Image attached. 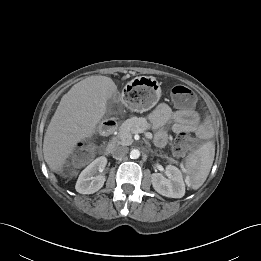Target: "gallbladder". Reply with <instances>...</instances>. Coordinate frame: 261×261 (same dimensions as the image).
<instances>
[{
	"label": "gallbladder",
	"instance_id": "gallbladder-1",
	"mask_svg": "<svg viewBox=\"0 0 261 261\" xmlns=\"http://www.w3.org/2000/svg\"><path fill=\"white\" fill-rule=\"evenodd\" d=\"M119 97H120V95H119L118 93L113 94L112 97L109 98L108 104H109V105H112V104L118 102Z\"/></svg>",
	"mask_w": 261,
	"mask_h": 261
}]
</instances>
